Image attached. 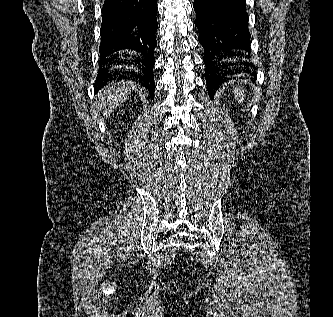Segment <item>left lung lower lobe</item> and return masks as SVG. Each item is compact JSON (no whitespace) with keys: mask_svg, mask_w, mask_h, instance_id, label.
<instances>
[{"mask_svg":"<svg viewBox=\"0 0 333 317\" xmlns=\"http://www.w3.org/2000/svg\"><path fill=\"white\" fill-rule=\"evenodd\" d=\"M193 7L199 43L204 48L207 90L213 98L219 86L232 79L228 75L251 73L245 67L238 68V63L226 61L240 50L250 52L246 0H194Z\"/></svg>","mask_w":333,"mask_h":317,"instance_id":"obj_1","label":"left lung lower lobe"}]
</instances>
